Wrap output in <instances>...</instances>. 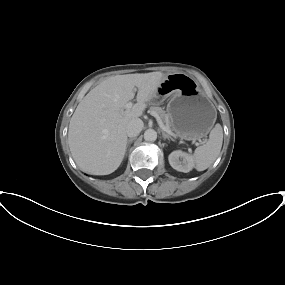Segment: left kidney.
<instances>
[{
  "instance_id": "5707ae66",
  "label": "left kidney",
  "mask_w": 285,
  "mask_h": 285,
  "mask_svg": "<svg viewBox=\"0 0 285 285\" xmlns=\"http://www.w3.org/2000/svg\"><path fill=\"white\" fill-rule=\"evenodd\" d=\"M169 163L177 171L187 173L194 167V160L191 155L180 150L173 151L168 157Z\"/></svg>"
}]
</instances>
